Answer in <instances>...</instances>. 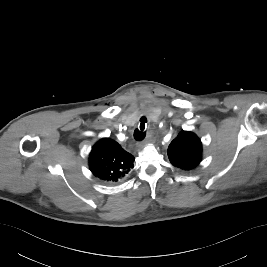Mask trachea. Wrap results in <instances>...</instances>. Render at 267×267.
Wrapping results in <instances>:
<instances>
[{
    "label": "trachea",
    "instance_id": "1",
    "mask_svg": "<svg viewBox=\"0 0 267 267\" xmlns=\"http://www.w3.org/2000/svg\"><path fill=\"white\" fill-rule=\"evenodd\" d=\"M147 123V118L145 116H142L140 118V125H139V129H135L134 131V138L137 140V141H141L145 138L146 136V131L145 130V124Z\"/></svg>",
    "mask_w": 267,
    "mask_h": 267
}]
</instances>
